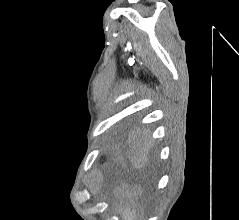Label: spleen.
Instances as JSON below:
<instances>
[{
    "instance_id": "obj_1",
    "label": "spleen",
    "mask_w": 239,
    "mask_h": 220,
    "mask_svg": "<svg viewBox=\"0 0 239 220\" xmlns=\"http://www.w3.org/2000/svg\"><path fill=\"white\" fill-rule=\"evenodd\" d=\"M119 213L123 220H136L138 216L136 210H131L129 207L121 209Z\"/></svg>"
}]
</instances>
